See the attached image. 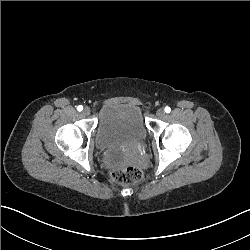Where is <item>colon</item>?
<instances>
[{
    "label": "colon",
    "mask_w": 250,
    "mask_h": 250,
    "mask_svg": "<svg viewBox=\"0 0 250 250\" xmlns=\"http://www.w3.org/2000/svg\"><path fill=\"white\" fill-rule=\"evenodd\" d=\"M111 179L118 184L124 186L139 183L144 176L143 170L136 165L124 167L121 165L115 166L110 173Z\"/></svg>",
    "instance_id": "1"
}]
</instances>
